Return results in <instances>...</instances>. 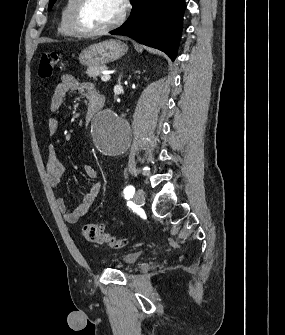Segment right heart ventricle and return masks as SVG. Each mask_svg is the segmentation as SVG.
<instances>
[{
    "instance_id": "obj_1",
    "label": "right heart ventricle",
    "mask_w": 285,
    "mask_h": 335,
    "mask_svg": "<svg viewBox=\"0 0 285 335\" xmlns=\"http://www.w3.org/2000/svg\"><path fill=\"white\" fill-rule=\"evenodd\" d=\"M76 1H65L64 8L61 15V22L58 28V33L67 39L78 38L79 35L75 33L71 25V13ZM87 60H98L96 58H88Z\"/></svg>"
}]
</instances>
